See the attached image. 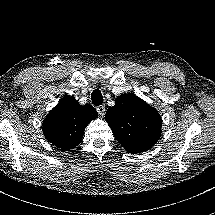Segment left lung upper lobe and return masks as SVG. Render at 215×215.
I'll use <instances>...</instances> for the list:
<instances>
[{"label":"left lung upper lobe","instance_id":"obj_1","mask_svg":"<svg viewBox=\"0 0 215 215\" xmlns=\"http://www.w3.org/2000/svg\"><path fill=\"white\" fill-rule=\"evenodd\" d=\"M105 119L116 140L131 154L150 149L161 136L160 114L133 94L118 96Z\"/></svg>","mask_w":215,"mask_h":215}]
</instances>
